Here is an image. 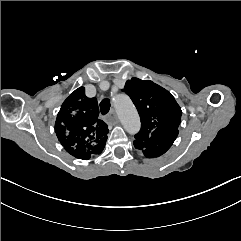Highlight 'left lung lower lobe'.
Here are the masks:
<instances>
[{"mask_svg":"<svg viewBox=\"0 0 241 241\" xmlns=\"http://www.w3.org/2000/svg\"><path fill=\"white\" fill-rule=\"evenodd\" d=\"M177 135H178V131L168 134V136L166 137V141L164 142V145L161 147V149H159L157 151L142 150L144 155L146 157L153 158V157H158V156L164 154L171 147V145L175 141ZM134 146H135V148H137L136 145H134Z\"/></svg>","mask_w":241,"mask_h":241,"instance_id":"0a47b994","label":"left lung lower lobe"}]
</instances>
